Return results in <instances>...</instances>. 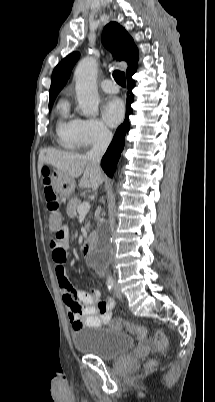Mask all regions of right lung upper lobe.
I'll return each instance as SVG.
<instances>
[{"label": "right lung upper lobe", "mask_w": 215, "mask_h": 402, "mask_svg": "<svg viewBox=\"0 0 215 402\" xmlns=\"http://www.w3.org/2000/svg\"><path fill=\"white\" fill-rule=\"evenodd\" d=\"M102 42L118 60L128 63L126 76H132L137 69L138 49L127 31L118 23L111 22L103 30ZM79 56V52H73L55 67L51 78L50 98H56L66 84Z\"/></svg>", "instance_id": "right-lung-upper-lobe-1"}]
</instances>
